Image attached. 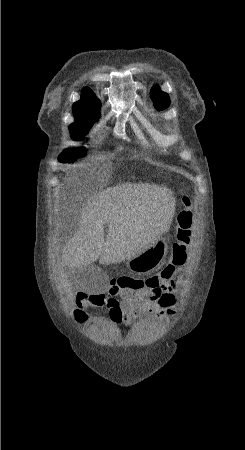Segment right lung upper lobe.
I'll return each instance as SVG.
<instances>
[{
	"label": "right lung upper lobe",
	"mask_w": 245,
	"mask_h": 450,
	"mask_svg": "<svg viewBox=\"0 0 245 450\" xmlns=\"http://www.w3.org/2000/svg\"><path fill=\"white\" fill-rule=\"evenodd\" d=\"M97 106H100V101L89 88L85 87L82 89L81 99L73 105V113L77 116L80 112Z\"/></svg>",
	"instance_id": "cb5924a9"
}]
</instances>
